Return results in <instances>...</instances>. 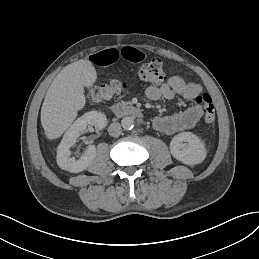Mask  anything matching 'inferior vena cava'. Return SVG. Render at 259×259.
Instances as JSON below:
<instances>
[{
  "label": "inferior vena cava",
  "instance_id": "602c4592",
  "mask_svg": "<svg viewBox=\"0 0 259 259\" xmlns=\"http://www.w3.org/2000/svg\"><path fill=\"white\" fill-rule=\"evenodd\" d=\"M108 133L112 137H118L121 133V126L119 123H111L108 128Z\"/></svg>",
  "mask_w": 259,
  "mask_h": 259
}]
</instances>
